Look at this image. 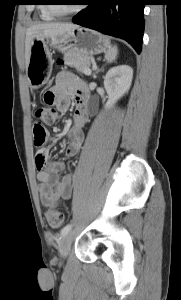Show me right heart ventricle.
<instances>
[{"label": "right heart ventricle", "instance_id": "right-heart-ventricle-1", "mask_svg": "<svg viewBox=\"0 0 181 300\" xmlns=\"http://www.w3.org/2000/svg\"><path fill=\"white\" fill-rule=\"evenodd\" d=\"M39 16L43 21H53L55 18V16L48 11L46 4H42L40 6Z\"/></svg>", "mask_w": 181, "mask_h": 300}]
</instances>
